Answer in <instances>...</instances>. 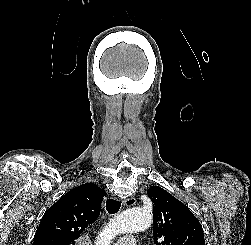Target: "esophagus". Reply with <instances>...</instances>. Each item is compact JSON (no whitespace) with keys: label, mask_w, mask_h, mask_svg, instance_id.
Instances as JSON below:
<instances>
[{"label":"esophagus","mask_w":251,"mask_h":245,"mask_svg":"<svg viewBox=\"0 0 251 245\" xmlns=\"http://www.w3.org/2000/svg\"><path fill=\"white\" fill-rule=\"evenodd\" d=\"M136 202L135 198L134 197H129L127 199L124 200V205L125 206H132L134 205Z\"/></svg>","instance_id":"esophagus-1"}]
</instances>
